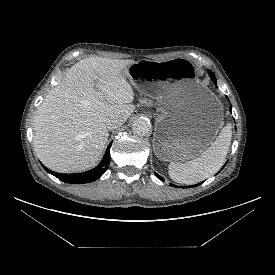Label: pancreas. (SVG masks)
I'll list each match as a JSON object with an SVG mask.
<instances>
[{
	"instance_id": "1",
	"label": "pancreas",
	"mask_w": 275,
	"mask_h": 275,
	"mask_svg": "<svg viewBox=\"0 0 275 275\" xmlns=\"http://www.w3.org/2000/svg\"><path fill=\"white\" fill-rule=\"evenodd\" d=\"M147 101L146 100H142V103H146Z\"/></svg>"
}]
</instances>
